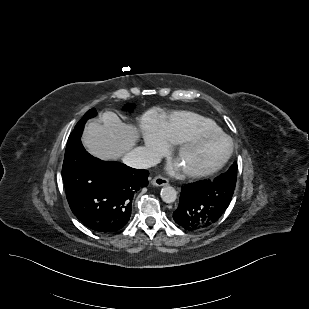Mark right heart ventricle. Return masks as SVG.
Returning <instances> with one entry per match:
<instances>
[{
  "label": "right heart ventricle",
  "instance_id": "1",
  "mask_svg": "<svg viewBox=\"0 0 309 309\" xmlns=\"http://www.w3.org/2000/svg\"><path fill=\"white\" fill-rule=\"evenodd\" d=\"M155 130L171 144H179L196 132H221L211 119L191 111H176L157 122Z\"/></svg>",
  "mask_w": 309,
  "mask_h": 309
}]
</instances>
